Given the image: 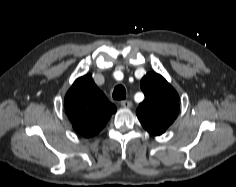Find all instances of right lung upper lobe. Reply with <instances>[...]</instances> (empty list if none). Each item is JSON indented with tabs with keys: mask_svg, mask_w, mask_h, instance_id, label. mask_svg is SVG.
Segmentation results:
<instances>
[{
	"mask_svg": "<svg viewBox=\"0 0 236 187\" xmlns=\"http://www.w3.org/2000/svg\"><path fill=\"white\" fill-rule=\"evenodd\" d=\"M64 104L73 129L86 138L99 133L117 110L98 89L90 74L74 82Z\"/></svg>",
	"mask_w": 236,
	"mask_h": 187,
	"instance_id": "cb5924a9",
	"label": "right lung upper lobe"
}]
</instances>
